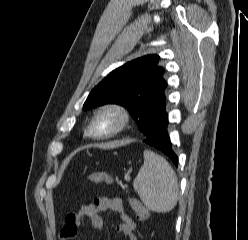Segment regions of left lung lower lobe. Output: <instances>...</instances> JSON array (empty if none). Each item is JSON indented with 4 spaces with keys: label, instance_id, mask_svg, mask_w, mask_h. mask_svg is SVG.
<instances>
[{
    "label": "left lung lower lobe",
    "instance_id": "1",
    "mask_svg": "<svg viewBox=\"0 0 248 240\" xmlns=\"http://www.w3.org/2000/svg\"><path fill=\"white\" fill-rule=\"evenodd\" d=\"M168 114L162 108L151 120L147 131L144 133V142L161 151L177 166L178 157L172 150V144L167 132Z\"/></svg>",
    "mask_w": 248,
    "mask_h": 240
}]
</instances>
